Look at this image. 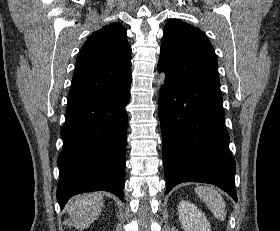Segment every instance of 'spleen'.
<instances>
[{
  "label": "spleen",
  "instance_id": "spleen-1",
  "mask_svg": "<svg viewBox=\"0 0 280 231\" xmlns=\"http://www.w3.org/2000/svg\"><path fill=\"white\" fill-rule=\"evenodd\" d=\"M195 191L203 201H205L207 207L211 209L214 217H218L221 221H224L226 215V203L213 187H206V185H199V187H195Z\"/></svg>",
  "mask_w": 280,
  "mask_h": 231
}]
</instances>
